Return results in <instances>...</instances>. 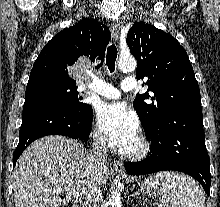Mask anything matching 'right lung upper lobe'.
I'll list each match as a JSON object with an SVG mask.
<instances>
[{"instance_id": "right-lung-upper-lobe-1", "label": "right lung upper lobe", "mask_w": 220, "mask_h": 207, "mask_svg": "<svg viewBox=\"0 0 220 207\" xmlns=\"http://www.w3.org/2000/svg\"><path fill=\"white\" fill-rule=\"evenodd\" d=\"M111 38L107 26L94 19H82L56 34L42 49L31 70L28 84L42 80L76 85L68 70L80 57L103 61ZM102 63L98 64L99 68Z\"/></svg>"}]
</instances>
